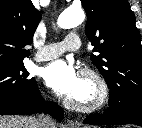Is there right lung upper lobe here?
I'll return each instance as SVG.
<instances>
[{
	"label": "right lung upper lobe",
	"mask_w": 142,
	"mask_h": 128,
	"mask_svg": "<svg viewBox=\"0 0 142 128\" xmlns=\"http://www.w3.org/2000/svg\"><path fill=\"white\" fill-rule=\"evenodd\" d=\"M40 18L31 0H0V65L23 64Z\"/></svg>",
	"instance_id": "obj_1"
}]
</instances>
